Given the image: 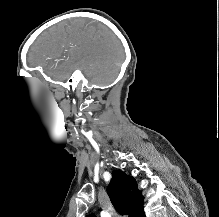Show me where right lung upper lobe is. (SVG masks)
Wrapping results in <instances>:
<instances>
[{
  "instance_id": "right-lung-upper-lobe-1",
  "label": "right lung upper lobe",
  "mask_w": 219,
  "mask_h": 217,
  "mask_svg": "<svg viewBox=\"0 0 219 217\" xmlns=\"http://www.w3.org/2000/svg\"><path fill=\"white\" fill-rule=\"evenodd\" d=\"M107 192L119 214H129L131 217H145L143 196L133 177L120 170H114ZM86 217H96V215L90 214Z\"/></svg>"
}]
</instances>
